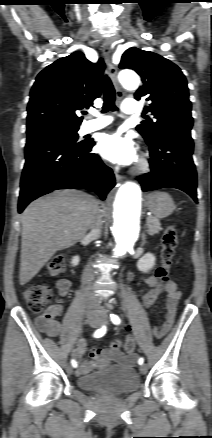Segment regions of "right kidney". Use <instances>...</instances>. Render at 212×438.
Listing matches in <instances>:
<instances>
[{
	"label": "right kidney",
	"mask_w": 212,
	"mask_h": 438,
	"mask_svg": "<svg viewBox=\"0 0 212 438\" xmlns=\"http://www.w3.org/2000/svg\"><path fill=\"white\" fill-rule=\"evenodd\" d=\"M79 260H80L79 256H74L72 258V261H71L72 265L77 266L79 263Z\"/></svg>",
	"instance_id": "ca27d5eb"
}]
</instances>
